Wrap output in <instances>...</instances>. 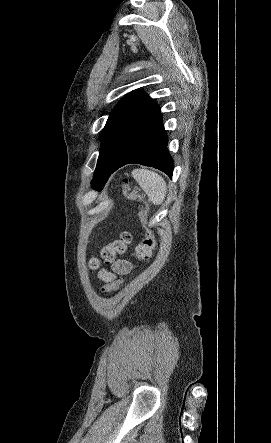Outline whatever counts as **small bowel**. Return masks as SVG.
I'll use <instances>...</instances> for the list:
<instances>
[{"label": "small bowel", "instance_id": "obj_1", "mask_svg": "<svg viewBox=\"0 0 271 443\" xmlns=\"http://www.w3.org/2000/svg\"><path fill=\"white\" fill-rule=\"evenodd\" d=\"M131 269V264L130 262L126 261V260H118L114 263L113 265V271H107V270H101L99 272V278L104 281V282H110L114 279L115 274H124L129 272Z\"/></svg>", "mask_w": 271, "mask_h": 443}]
</instances>
